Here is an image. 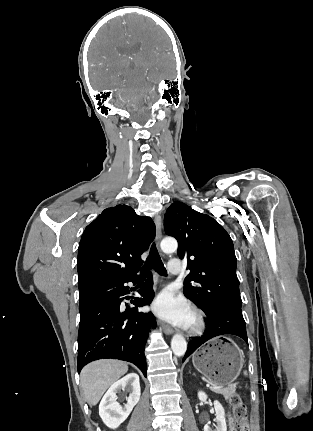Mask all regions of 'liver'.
I'll use <instances>...</instances> for the list:
<instances>
[{
	"instance_id": "liver-1",
	"label": "liver",
	"mask_w": 313,
	"mask_h": 431,
	"mask_svg": "<svg viewBox=\"0 0 313 431\" xmlns=\"http://www.w3.org/2000/svg\"><path fill=\"white\" fill-rule=\"evenodd\" d=\"M127 371V364L118 360H98L85 366L80 379L88 404L95 406L105 391Z\"/></svg>"
}]
</instances>
